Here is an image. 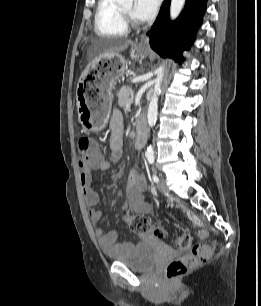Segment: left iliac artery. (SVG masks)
<instances>
[{
	"mask_svg": "<svg viewBox=\"0 0 261 306\" xmlns=\"http://www.w3.org/2000/svg\"><path fill=\"white\" fill-rule=\"evenodd\" d=\"M148 161H149L150 164H153V163H154V158L149 157V158H148ZM152 179H153V181H154L155 183H158V182H159V178H158V176H157L156 174H154V175L152 176Z\"/></svg>",
	"mask_w": 261,
	"mask_h": 306,
	"instance_id": "44dca946",
	"label": "left iliac artery"
}]
</instances>
